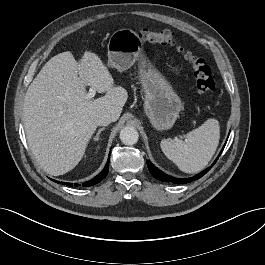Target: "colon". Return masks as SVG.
Instances as JSON below:
<instances>
[{
    "instance_id": "colon-1",
    "label": "colon",
    "mask_w": 265,
    "mask_h": 265,
    "mask_svg": "<svg viewBox=\"0 0 265 265\" xmlns=\"http://www.w3.org/2000/svg\"><path fill=\"white\" fill-rule=\"evenodd\" d=\"M140 38L148 43L169 45L176 47L183 57L191 64L199 93L210 97L215 91V82L211 69L205 58L196 55L192 50L180 43L175 34L170 30L153 31L141 30Z\"/></svg>"
}]
</instances>
